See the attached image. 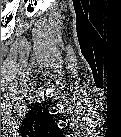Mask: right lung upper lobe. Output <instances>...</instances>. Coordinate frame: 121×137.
Segmentation results:
<instances>
[{
    "mask_svg": "<svg viewBox=\"0 0 121 137\" xmlns=\"http://www.w3.org/2000/svg\"><path fill=\"white\" fill-rule=\"evenodd\" d=\"M55 132L59 133V128L53 116L41 105H36L26 115L21 126V133L24 135H46Z\"/></svg>",
    "mask_w": 121,
    "mask_h": 137,
    "instance_id": "cb5924a9",
    "label": "right lung upper lobe"
}]
</instances>
